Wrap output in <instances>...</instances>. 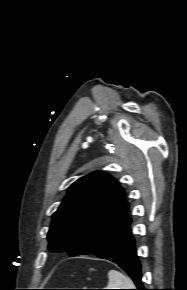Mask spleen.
Returning <instances> with one entry per match:
<instances>
[{
    "label": "spleen",
    "mask_w": 187,
    "mask_h": 290,
    "mask_svg": "<svg viewBox=\"0 0 187 290\" xmlns=\"http://www.w3.org/2000/svg\"><path fill=\"white\" fill-rule=\"evenodd\" d=\"M107 289H133L134 284L129 277L116 270L108 272Z\"/></svg>",
    "instance_id": "3e777b00"
}]
</instances>
